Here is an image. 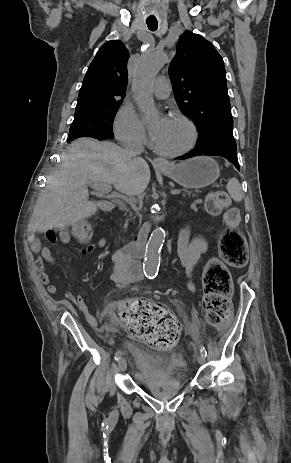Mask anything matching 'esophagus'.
Here are the masks:
<instances>
[{
  "mask_svg": "<svg viewBox=\"0 0 291 463\" xmlns=\"http://www.w3.org/2000/svg\"><path fill=\"white\" fill-rule=\"evenodd\" d=\"M153 163L157 166H166L167 165V162L166 160L162 159V158H155L153 160Z\"/></svg>",
  "mask_w": 291,
  "mask_h": 463,
  "instance_id": "1",
  "label": "esophagus"
}]
</instances>
